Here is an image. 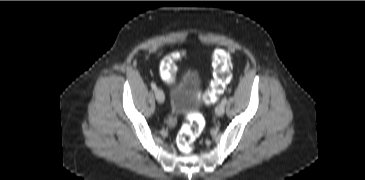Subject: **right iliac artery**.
I'll return each instance as SVG.
<instances>
[{
    "label": "right iliac artery",
    "mask_w": 365,
    "mask_h": 180,
    "mask_svg": "<svg viewBox=\"0 0 365 180\" xmlns=\"http://www.w3.org/2000/svg\"><path fill=\"white\" fill-rule=\"evenodd\" d=\"M152 89L155 91L157 89L156 84L154 82L151 83Z\"/></svg>",
    "instance_id": "obj_1"
}]
</instances>
